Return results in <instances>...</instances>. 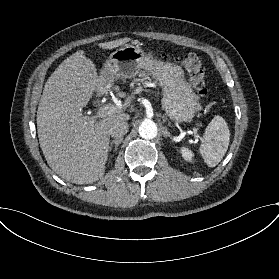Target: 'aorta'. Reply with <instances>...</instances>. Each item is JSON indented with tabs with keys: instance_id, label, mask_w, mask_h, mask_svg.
<instances>
[{
	"instance_id": "762f6f07",
	"label": "aorta",
	"mask_w": 279,
	"mask_h": 279,
	"mask_svg": "<svg viewBox=\"0 0 279 279\" xmlns=\"http://www.w3.org/2000/svg\"><path fill=\"white\" fill-rule=\"evenodd\" d=\"M139 134L143 139H153L157 136V126L151 120H144L139 126Z\"/></svg>"
}]
</instances>
